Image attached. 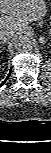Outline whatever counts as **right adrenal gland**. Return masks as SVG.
Instances as JSON below:
<instances>
[{
    "instance_id": "2a0ac1e0",
    "label": "right adrenal gland",
    "mask_w": 51,
    "mask_h": 153,
    "mask_svg": "<svg viewBox=\"0 0 51 153\" xmlns=\"http://www.w3.org/2000/svg\"><path fill=\"white\" fill-rule=\"evenodd\" d=\"M2 44H3V42H1V46H0L1 49H2Z\"/></svg>"
}]
</instances>
